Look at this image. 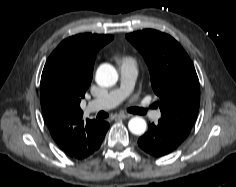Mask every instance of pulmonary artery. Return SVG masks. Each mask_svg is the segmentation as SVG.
Instances as JSON below:
<instances>
[{
	"label": "pulmonary artery",
	"instance_id": "e3ab8cb5",
	"mask_svg": "<svg viewBox=\"0 0 236 187\" xmlns=\"http://www.w3.org/2000/svg\"><path fill=\"white\" fill-rule=\"evenodd\" d=\"M120 74V87L111 90L100 98L90 101L87 106V110L89 112L113 108L128 96L134 86L135 80L138 75L136 65L133 62H123L120 65ZM139 108L145 110V112L147 113L150 111L148 107H145L143 105H140ZM151 116L158 118L160 116V113L157 111H152Z\"/></svg>",
	"mask_w": 236,
	"mask_h": 187
}]
</instances>
